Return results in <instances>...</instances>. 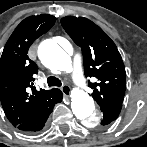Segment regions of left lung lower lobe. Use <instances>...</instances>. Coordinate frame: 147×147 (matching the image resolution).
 I'll return each mask as SVG.
<instances>
[{
	"mask_svg": "<svg viewBox=\"0 0 147 147\" xmlns=\"http://www.w3.org/2000/svg\"><path fill=\"white\" fill-rule=\"evenodd\" d=\"M122 108V104H115L105 108H100L103 112V119L101 125H108L116 120Z\"/></svg>",
	"mask_w": 147,
	"mask_h": 147,
	"instance_id": "obj_1",
	"label": "left lung lower lobe"
}]
</instances>
